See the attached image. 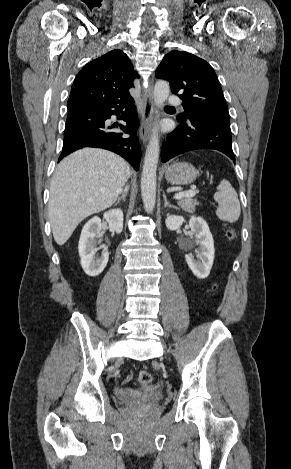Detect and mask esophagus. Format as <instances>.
I'll return each instance as SVG.
<instances>
[{
  "mask_svg": "<svg viewBox=\"0 0 291 469\" xmlns=\"http://www.w3.org/2000/svg\"><path fill=\"white\" fill-rule=\"evenodd\" d=\"M153 79H150V85L143 90L142 94V120L139 129V136L143 143H146L150 136L154 104H153Z\"/></svg>",
  "mask_w": 291,
  "mask_h": 469,
  "instance_id": "obj_1",
  "label": "esophagus"
}]
</instances>
